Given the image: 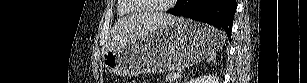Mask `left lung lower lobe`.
<instances>
[{"label": "left lung lower lobe", "instance_id": "0a47b994", "mask_svg": "<svg viewBox=\"0 0 307 83\" xmlns=\"http://www.w3.org/2000/svg\"><path fill=\"white\" fill-rule=\"evenodd\" d=\"M236 8V0H177L168 13L207 23L230 37Z\"/></svg>", "mask_w": 307, "mask_h": 83}]
</instances>
